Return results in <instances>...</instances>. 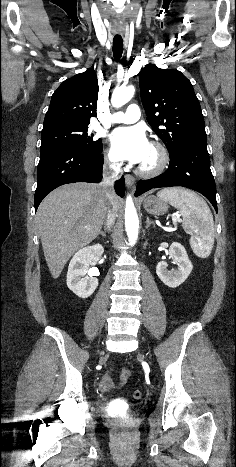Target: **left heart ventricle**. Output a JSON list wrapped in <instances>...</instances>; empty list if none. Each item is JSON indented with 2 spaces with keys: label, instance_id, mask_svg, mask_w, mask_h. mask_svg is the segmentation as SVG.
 I'll return each instance as SVG.
<instances>
[{
  "label": "left heart ventricle",
  "instance_id": "obj_1",
  "mask_svg": "<svg viewBox=\"0 0 236 467\" xmlns=\"http://www.w3.org/2000/svg\"><path fill=\"white\" fill-rule=\"evenodd\" d=\"M157 161V154L154 149L150 146L149 152L145 158V160L141 163V165L145 167H152L155 165Z\"/></svg>",
  "mask_w": 236,
  "mask_h": 467
}]
</instances>
